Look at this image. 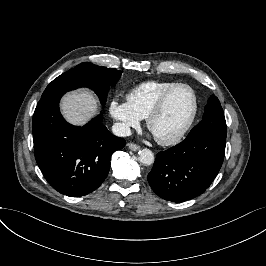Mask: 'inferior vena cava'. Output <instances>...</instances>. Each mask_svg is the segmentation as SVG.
Wrapping results in <instances>:
<instances>
[{
    "label": "inferior vena cava",
    "mask_w": 266,
    "mask_h": 266,
    "mask_svg": "<svg viewBox=\"0 0 266 266\" xmlns=\"http://www.w3.org/2000/svg\"><path fill=\"white\" fill-rule=\"evenodd\" d=\"M113 133L120 137L131 136V128L123 123H115Z\"/></svg>",
    "instance_id": "602c4592"
}]
</instances>
